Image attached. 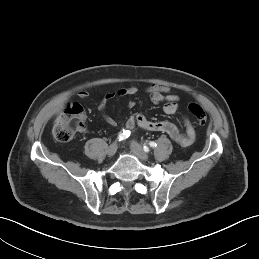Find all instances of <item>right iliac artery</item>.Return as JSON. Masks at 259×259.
I'll list each match as a JSON object with an SVG mask.
<instances>
[{
	"mask_svg": "<svg viewBox=\"0 0 259 259\" xmlns=\"http://www.w3.org/2000/svg\"><path fill=\"white\" fill-rule=\"evenodd\" d=\"M129 136H130V131H128V130H122V131L119 133L117 139H118L119 141H122V140H125L126 138H128Z\"/></svg>",
	"mask_w": 259,
	"mask_h": 259,
	"instance_id": "1",
	"label": "right iliac artery"
}]
</instances>
